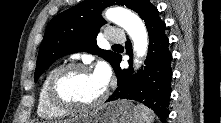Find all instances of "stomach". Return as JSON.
Returning <instances> with one entry per match:
<instances>
[{"instance_id":"0dacf381","label":"stomach","mask_w":221,"mask_h":123,"mask_svg":"<svg viewBox=\"0 0 221 123\" xmlns=\"http://www.w3.org/2000/svg\"><path fill=\"white\" fill-rule=\"evenodd\" d=\"M137 107L126 100H116L83 113L71 123H138Z\"/></svg>"}]
</instances>
